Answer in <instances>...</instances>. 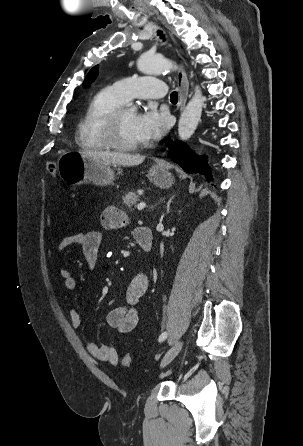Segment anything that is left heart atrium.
Listing matches in <instances>:
<instances>
[{"mask_svg":"<svg viewBox=\"0 0 303 446\" xmlns=\"http://www.w3.org/2000/svg\"><path fill=\"white\" fill-rule=\"evenodd\" d=\"M169 127V116L151 106L143 113L137 114L135 131L141 141L157 140L161 138Z\"/></svg>","mask_w":303,"mask_h":446,"instance_id":"1","label":"left heart atrium"}]
</instances>
